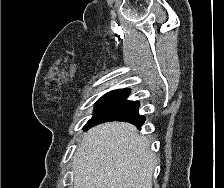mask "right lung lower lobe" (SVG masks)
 Masks as SVG:
<instances>
[{
  "instance_id": "1",
  "label": "right lung lower lobe",
  "mask_w": 224,
  "mask_h": 188,
  "mask_svg": "<svg viewBox=\"0 0 224 188\" xmlns=\"http://www.w3.org/2000/svg\"><path fill=\"white\" fill-rule=\"evenodd\" d=\"M128 94L129 91L123 89L118 95L112 98L95 114L84 131L108 121H125L141 127L145 122V117L138 113L139 102L126 100Z\"/></svg>"
}]
</instances>
